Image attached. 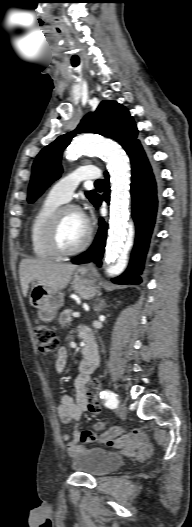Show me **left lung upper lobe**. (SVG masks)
<instances>
[{
  "instance_id": "1",
  "label": "left lung upper lobe",
  "mask_w": 192,
  "mask_h": 527,
  "mask_svg": "<svg viewBox=\"0 0 192 527\" xmlns=\"http://www.w3.org/2000/svg\"><path fill=\"white\" fill-rule=\"evenodd\" d=\"M92 132L118 141L128 153L139 143L138 130L129 111L115 101H102L94 113L87 114L75 131L59 136L37 155L28 190V202H34L43 191L60 177L62 151L70 144L76 133ZM90 201L96 205L99 195L87 192Z\"/></svg>"
}]
</instances>
